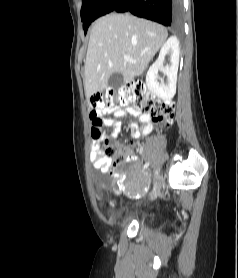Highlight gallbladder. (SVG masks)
<instances>
[{
	"mask_svg": "<svg viewBox=\"0 0 238 278\" xmlns=\"http://www.w3.org/2000/svg\"><path fill=\"white\" fill-rule=\"evenodd\" d=\"M109 85L114 88H118L123 84V75L121 73H114L110 76Z\"/></svg>",
	"mask_w": 238,
	"mask_h": 278,
	"instance_id": "1",
	"label": "gallbladder"
}]
</instances>
